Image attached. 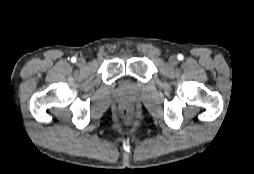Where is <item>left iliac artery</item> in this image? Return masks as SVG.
<instances>
[{"mask_svg":"<svg viewBox=\"0 0 254 174\" xmlns=\"http://www.w3.org/2000/svg\"><path fill=\"white\" fill-rule=\"evenodd\" d=\"M178 59H179V60H182V59H183V55H182V54H179V55H178Z\"/></svg>","mask_w":254,"mask_h":174,"instance_id":"44dca946","label":"left iliac artery"}]
</instances>
